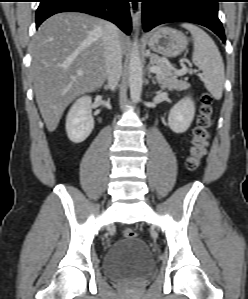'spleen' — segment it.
<instances>
[{
	"instance_id": "obj_1",
	"label": "spleen",
	"mask_w": 248,
	"mask_h": 299,
	"mask_svg": "<svg viewBox=\"0 0 248 299\" xmlns=\"http://www.w3.org/2000/svg\"><path fill=\"white\" fill-rule=\"evenodd\" d=\"M193 37V63L203 72L206 89L217 100L221 99L224 84V63L212 38L202 29L190 23L181 25Z\"/></svg>"
}]
</instances>
